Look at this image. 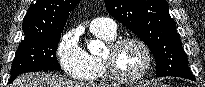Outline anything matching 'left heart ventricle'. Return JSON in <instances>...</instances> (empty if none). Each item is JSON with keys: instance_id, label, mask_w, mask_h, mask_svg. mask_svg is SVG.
<instances>
[{"instance_id": "b2bd125f", "label": "left heart ventricle", "mask_w": 205, "mask_h": 87, "mask_svg": "<svg viewBox=\"0 0 205 87\" xmlns=\"http://www.w3.org/2000/svg\"><path fill=\"white\" fill-rule=\"evenodd\" d=\"M146 62L144 51L135 43L123 45L115 56V65L119 72L125 75L139 73Z\"/></svg>"}]
</instances>
